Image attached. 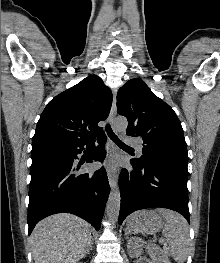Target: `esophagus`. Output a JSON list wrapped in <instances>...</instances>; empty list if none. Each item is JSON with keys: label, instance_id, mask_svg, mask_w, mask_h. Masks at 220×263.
I'll return each mask as SVG.
<instances>
[{"label": "esophagus", "instance_id": "obj_1", "mask_svg": "<svg viewBox=\"0 0 220 263\" xmlns=\"http://www.w3.org/2000/svg\"><path fill=\"white\" fill-rule=\"evenodd\" d=\"M116 95H117V90L114 89L113 90V101H112V106H111V111H110V121H111L112 126H113V123H114V120L117 114ZM107 176H108L110 187L111 188L115 187L117 185L116 173L112 169H109L107 172Z\"/></svg>", "mask_w": 220, "mask_h": 263}]
</instances>
